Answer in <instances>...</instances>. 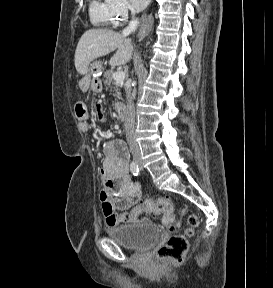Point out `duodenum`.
<instances>
[{
	"label": "duodenum",
	"instance_id": "1",
	"mask_svg": "<svg viewBox=\"0 0 273 288\" xmlns=\"http://www.w3.org/2000/svg\"><path fill=\"white\" fill-rule=\"evenodd\" d=\"M116 114L118 116V119L123 121L126 116V108L123 104H119L116 106Z\"/></svg>",
	"mask_w": 273,
	"mask_h": 288
}]
</instances>
